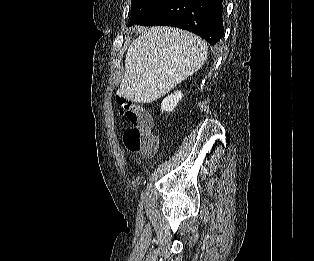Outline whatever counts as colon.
Wrapping results in <instances>:
<instances>
[{
	"mask_svg": "<svg viewBox=\"0 0 314 261\" xmlns=\"http://www.w3.org/2000/svg\"><path fill=\"white\" fill-rule=\"evenodd\" d=\"M118 102L121 116L131 124L123 136L126 149L131 153L151 155L157 144V136L150 112L124 98H119Z\"/></svg>",
	"mask_w": 314,
	"mask_h": 261,
	"instance_id": "colon-1",
	"label": "colon"
}]
</instances>
